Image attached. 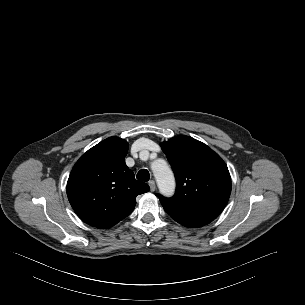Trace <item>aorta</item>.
I'll return each instance as SVG.
<instances>
[{
  "label": "aorta",
  "mask_w": 305,
  "mask_h": 305,
  "mask_svg": "<svg viewBox=\"0 0 305 305\" xmlns=\"http://www.w3.org/2000/svg\"><path fill=\"white\" fill-rule=\"evenodd\" d=\"M153 174L160 191L164 195H172L175 190V179L165 161L158 160L152 165Z\"/></svg>",
  "instance_id": "1"
}]
</instances>
